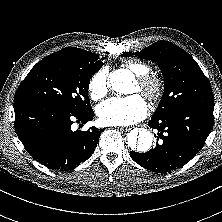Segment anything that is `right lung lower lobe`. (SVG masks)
Instances as JSON below:
<instances>
[{
	"instance_id": "right-lung-lower-lobe-1",
	"label": "right lung lower lobe",
	"mask_w": 222,
	"mask_h": 222,
	"mask_svg": "<svg viewBox=\"0 0 222 222\" xmlns=\"http://www.w3.org/2000/svg\"><path fill=\"white\" fill-rule=\"evenodd\" d=\"M15 131L27 152L53 170H72L95 151L101 129L72 131L71 125L91 121L94 112L73 113L43 101L14 102Z\"/></svg>"
}]
</instances>
